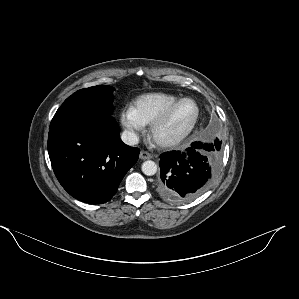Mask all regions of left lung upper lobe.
Here are the masks:
<instances>
[{
	"label": "left lung upper lobe",
	"mask_w": 299,
	"mask_h": 299,
	"mask_svg": "<svg viewBox=\"0 0 299 299\" xmlns=\"http://www.w3.org/2000/svg\"><path fill=\"white\" fill-rule=\"evenodd\" d=\"M214 142H215V145H217V146L219 145L221 147V141H219L218 138Z\"/></svg>",
	"instance_id": "obj_1"
}]
</instances>
